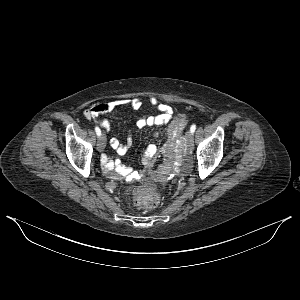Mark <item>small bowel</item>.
<instances>
[{
	"instance_id": "obj_1",
	"label": "small bowel",
	"mask_w": 300,
	"mask_h": 300,
	"mask_svg": "<svg viewBox=\"0 0 300 300\" xmlns=\"http://www.w3.org/2000/svg\"><path fill=\"white\" fill-rule=\"evenodd\" d=\"M149 103L154 107H156V109L158 110V114L151 115V116H144L138 119L134 123V128L141 129L147 126H156L161 128L167 125L172 119L173 110L169 105L161 103L155 98H150ZM127 105L132 107L135 110H138L142 105V101L137 98L114 99L106 103L97 104L85 110L84 116L87 119L101 118L106 116L113 110ZM101 125L107 130L110 128L109 122L105 119L101 121ZM158 133L159 131L157 132V134ZM131 143H132L131 134H129L125 142H121L115 138L110 141V145L112 149L115 150L116 153L120 156H124L127 154V152L130 149ZM156 153H157V146L154 144L149 145L145 149L142 155L141 164L146 167L151 166L156 156ZM101 162L105 173L112 179L122 180L124 178L126 179L137 178L138 174L131 167L122 164L119 160H112L105 155L102 157ZM160 172L166 174L165 170H161Z\"/></svg>"
}]
</instances>
